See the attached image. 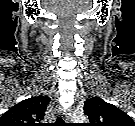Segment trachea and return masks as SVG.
<instances>
[{"label":"trachea","instance_id":"obj_1","mask_svg":"<svg viewBox=\"0 0 135 126\" xmlns=\"http://www.w3.org/2000/svg\"><path fill=\"white\" fill-rule=\"evenodd\" d=\"M56 123L57 124H62L64 123L63 119L61 117H58L57 120H56Z\"/></svg>","mask_w":135,"mask_h":126}]
</instances>
